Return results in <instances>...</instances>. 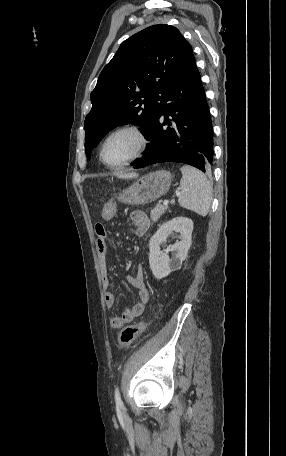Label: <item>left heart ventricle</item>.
Wrapping results in <instances>:
<instances>
[{
	"instance_id": "left-heart-ventricle-1",
	"label": "left heart ventricle",
	"mask_w": 286,
	"mask_h": 456,
	"mask_svg": "<svg viewBox=\"0 0 286 456\" xmlns=\"http://www.w3.org/2000/svg\"><path fill=\"white\" fill-rule=\"evenodd\" d=\"M139 145L140 141L134 133H118L107 142L104 158L110 164H120L132 157L138 151Z\"/></svg>"
}]
</instances>
